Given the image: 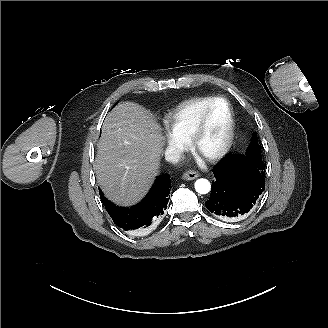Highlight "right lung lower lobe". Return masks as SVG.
I'll use <instances>...</instances> for the list:
<instances>
[{"label": "right lung lower lobe", "mask_w": 328, "mask_h": 328, "mask_svg": "<svg viewBox=\"0 0 328 328\" xmlns=\"http://www.w3.org/2000/svg\"><path fill=\"white\" fill-rule=\"evenodd\" d=\"M170 177L164 174L155 183L146 197L131 208L116 206L99 191L100 198L113 222L124 231L145 229L166 210L170 198Z\"/></svg>", "instance_id": "right-lung-lower-lobe-1"}]
</instances>
